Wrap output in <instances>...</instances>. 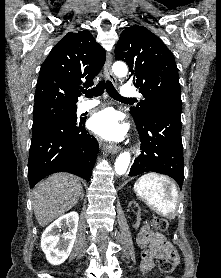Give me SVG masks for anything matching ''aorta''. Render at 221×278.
<instances>
[{"label": "aorta", "mask_w": 221, "mask_h": 278, "mask_svg": "<svg viewBox=\"0 0 221 278\" xmlns=\"http://www.w3.org/2000/svg\"><path fill=\"white\" fill-rule=\"evenodd\" d=\"M112 70L117 77H124L128 73L127 65L124 62H115L112 66ZM130 164V153L125 151L121 153L115 162V173L117 175H123L128 169Z\"/></svg>", "instance_id": "762f6f07"}]
</instances>
